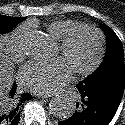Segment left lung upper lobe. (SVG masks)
<instances>
[{
    "mask_svg": "<svg viewBox=\"0 0 125 125\" xmlns=\"http://www.w3.org/2000/svg\"><path fill=\"white\" fill-rule=\"evenodd\" d=\"M107 36V54L100 67L80 84L85 90L125 82L123 46L115 32L107 25H101Z\"/></svg>",
    "mask_w": 125,
    "mask_h": 125,
    "instance_id": "obj_1",
    "label": "left lung upper lobe"
}]
</instances>
